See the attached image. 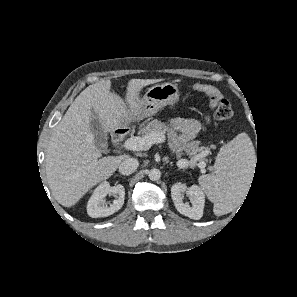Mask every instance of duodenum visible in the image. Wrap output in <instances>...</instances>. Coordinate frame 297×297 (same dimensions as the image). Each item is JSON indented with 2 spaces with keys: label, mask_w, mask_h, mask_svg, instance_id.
<instances>
[{
  "label": "duodenum",
  "mask_w": 297,
  "mask_h": 297,
  "mask_svg": "<svg viewBox=\"0 0 297 297\" xmlns=\"http://www.w3.org/2000/svg\"><path fill=\"white\" fill-rule=\"evenodd\" d=\"M127 130L124 127H119L117 128L113 133H112V142L114 144H118L123 136L126 134Z\"/></svg>",
  "instance_id": "obj_1"
}]
</instances>
